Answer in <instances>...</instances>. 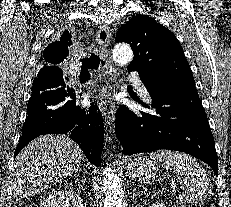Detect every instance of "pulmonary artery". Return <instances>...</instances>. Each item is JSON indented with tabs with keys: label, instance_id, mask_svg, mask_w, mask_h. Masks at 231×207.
Here are the masks:
<instances>
[{
	"label": "pulmonary artery",
	"instance_id": "pulmonary-artery-1",
	"mask_svg": "<svg viewBox=\"0 0 231 207\" xmlns=\"http://www.w3.org/2000/svg\"><path fill=\"white\" fill-rule=\"evenodd\" d=\"M131 79H132V82H133L134 86L136 87V89L138 91L144 93L145 92V86H144L142 80L139 77L135 76V75H132Z\"/></svg>",
	"mask_w": 231,
	"mask_h": 207
}]
</instances>
